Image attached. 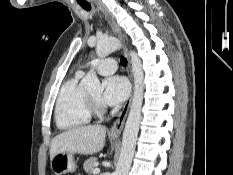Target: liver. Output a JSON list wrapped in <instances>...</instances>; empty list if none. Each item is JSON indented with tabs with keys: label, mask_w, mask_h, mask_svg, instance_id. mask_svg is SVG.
<instances>
[{
	"label": "liver",
	"mask_w": 233,
	"mask_h": 175,
	"mask_svg": "<svg viewBox=\"0 0 233 175\" xmlns=\"http://www.w3.org/2000/svg\"><path fill=\"white\" fill-rule=\"evenodd\" d=\"M106 128L102 125L80 126L57 135L51 142L50 159L58 153L94 154L102 150Z\"/></svg>",
	"instance_id": "liver-1"
}]
</instances>
